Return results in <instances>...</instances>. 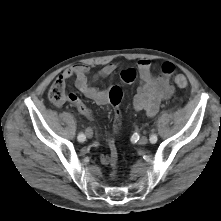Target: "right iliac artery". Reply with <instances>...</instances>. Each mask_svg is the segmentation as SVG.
Returning <instances> with one entry per match:
<instances>
[{"label": "right iliac artery", "mask_w": 221, "mask_h": 221, "mask_svg": "<svg viewBox=\"0 0 221 221\" xmlns=\"http://www.w3.org/2000/svg\"><path fill=\"white\" fill-rule=\"evenodd\" d=\"M77 138H78L79 142H84L86 139V137L83 133H80Z\"/></svg>", "instance_id": "right-iliac-artery-1"}]
</instances>
